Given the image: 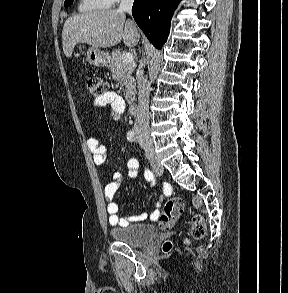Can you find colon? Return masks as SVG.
<instances>
[{
	"mask_svg": "<svg viewBox=\"0 0 288 293\" xmlns=\"http://www.w3.org/2000/svg\"><path fill=\"white\" fill-rule=\"evenodd\" d=\"M88 94L93 98H100L106 93L107 83L104 79L97 76H91L86 84ZM183 212V201L179 197L168 199L163 205L162 211L158 216V223L162 229H170L175 225ZM191 234L194 239H202L206 234V226L201 216L196 215L192 219ZM171 242L167 241L163 245L164 252H169Z\"/></svg>",
	"mask_w": 288,
	"mask_h": 293,
	"instance_id": "5ec220e1",
	"label": "colon"
}]
</instances>
